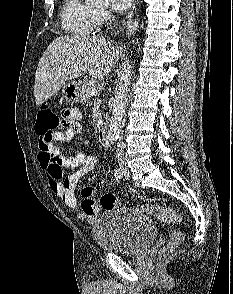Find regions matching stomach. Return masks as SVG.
I'll return each mask as SVG.
<instances>
[{
  "mask_svg": "<svg viewBox=\"0 0 233 294\" xmlns=\"http://www.w3.org/2000/svg\"><path fill=\"white\" fill-rule=\"evenodd\" d=\"M62 95L66 102L77 103L81 102V87L76 81H68L64 84Z\"/></svg>",
  "mask_w": 233,
  "mask_h": 294,
  "instance_id": "0dacf381",
  "label": "stomach"
}]
</instances>
